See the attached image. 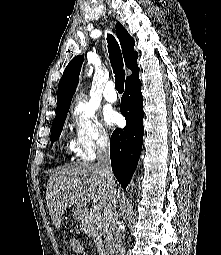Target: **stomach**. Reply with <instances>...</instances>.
I'll list each match as a JSON object with an SVG mask.
<instances>
[{
	"mask_svg": "<svg viewBox=\"0 0 221 255\" xmlns=\"http://www.w3.org/2000/svg\"><path fill=\"white\" fill-rule=\"evenodd\" d=\"M85 212H86V210L83 208L74 207L72 209V216L75 220H81V219H83Z\"/></svg>",
	"mask_w": 221,
	"mask_h": 255,
	"instance_id": "0dacf381",
	"label": "stomach"
}]
</instances>
